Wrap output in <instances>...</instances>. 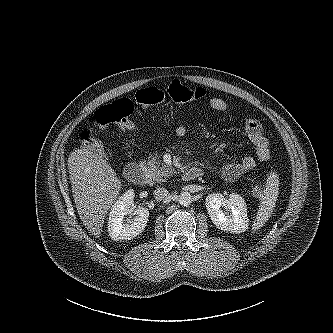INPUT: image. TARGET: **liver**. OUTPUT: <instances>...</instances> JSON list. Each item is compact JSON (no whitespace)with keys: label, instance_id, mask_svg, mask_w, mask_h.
<instances>
[{"label":"liver","instance_id":"1","mask_svg":"<svg viewBox=\"0 0 333 333\" xmlns=\"http://www.w3.org/2000/svg\"><path fill=\"white\" fill-rule=\"evenodd\" d=\"M67 164L79 217L99 238L105 216L119 195L121 181L102 156L86 148L70 153Z\"/></svg>","mask_w":333,"mask_h":333}]
</instances>
